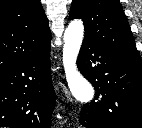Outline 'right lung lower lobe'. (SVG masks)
<instances>
[{"label": "right lung lower lobe", "instance_id": "right-lung-lower-lobe-1", "mask_svg": "<svg viewBox=\"0 0 142 128\" xmlns=\"http://www.w3.org/2000/svg\"><path fill=\"white\" fill-rule=\"evenodd\" d=\"M55 101L50 45L0 73V126L49 128Z\"/></svg>", "mask_w": 142, "mask_h": 128}]
</instances>
